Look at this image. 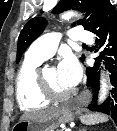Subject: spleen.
Listing matches in <instances>:
<instances>
[{"label": "spleen", "instance_id": "1", "mask_svg": "<svg viewBox=\"0 0 117 131\" xmlns=\"http://www.w3.org/2000/svg\"><path fill=\"white\" fill-rule=\"evenodd\" d=\"M81 120L87 125H94L107 122L108 118L103 114H90L88 116H83Z\"/></svg>", "mask_w": 117, "mask_h": 131}]
</instances>
